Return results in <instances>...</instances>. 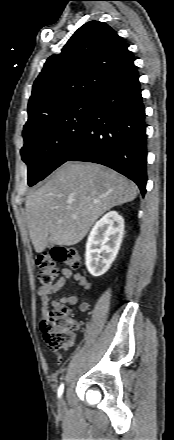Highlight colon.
Wrapping results in <instances>:
<instances>
[{
  "instance_id": "obj_1",
  "label": "colon",
  "mask_w": 174,
  "mask_h": 440,
  "mask_svg": "<svg viewBox=\"0 0 174 440\" xmlns=\"http://www.w3.org/2000/svg\"><path fill=\"white\" fill-rule=\"evenodd\" d=\"M56 262L66 263L73 269L81 266V257L77 249L70 246H58L38 254L36 264L39 268L38 278L42 286L52 285L57 277ZM74 324L67 315V309L51 312L41 322V331L46 345L60 351L73 344Z\"/></svg>"
}]
</instances>
